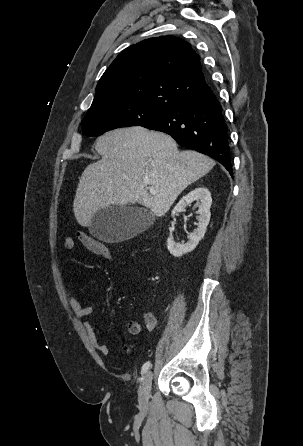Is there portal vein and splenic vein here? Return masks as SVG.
Here are the masks:
<instances>
[{
  "instance_id": "obj_1",
  "label": "portal vein and splenic vein",
  "mask_w": 303,
  "mask_h": 446,
  "mask_svg": "<svg viewBox=\"0 0 303 446\" xmlns=\"http://www.w3.org/2000/svg\"><path fill=\"white\" fill-rule=\"evenodd\" d=\"M144 183L146 184V185H149V180L148 179H145L144 180ZM149 191H150V193L151 194H156V190L153 188V187H149Z\"/></svg>"
}]
</instances>
